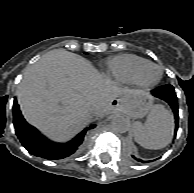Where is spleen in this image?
I'll use <instances>...</instances> for the list:
<instances>
[{
  "label": "spleen",
  "instance_id": "obj_1",
  "mask_svg": "<svg viewBox=\"0 0 194 193\" xmlns=\"http://www.w3.org/2000/svg\"><path fill=\"white\" fill-rule=\"evenodd\" d=\"M174 121L172 114L163 105H153L145 123L133 124L135 141L146 149H162L172 140Z\"/></svg>",
  "mask_w": 194,
  "mask_h": 193
}]
</instances>
